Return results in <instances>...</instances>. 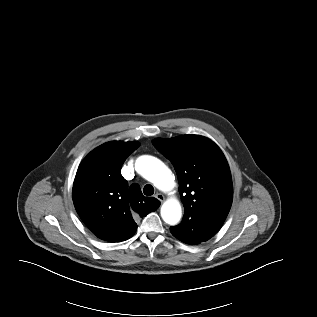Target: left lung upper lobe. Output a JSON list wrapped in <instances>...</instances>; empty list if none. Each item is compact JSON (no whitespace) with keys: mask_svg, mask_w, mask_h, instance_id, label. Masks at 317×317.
Instances as JSON below:
<instances>
[{"mask_svg":"<svg viewBox=\"0 0 317 317\" xmlns=\"http://www.w3.org/2000/svg\"><path fill=\"white\" fill-rule=\"evenodd\" d=\"M173 164L185 213L180 226L209 218L225 221L233 199L230 169L219 147L199 135L153 140Z\"/></svg>","mask_w":317,"mask_h":317,"instance_id":"obj_1","label":"left lung upper lobe"}]
</instances>
